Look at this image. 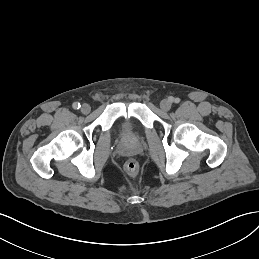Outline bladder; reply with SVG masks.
<instances>
[{
  "instance_id": "31cf9c89",
  "label": "bladder",
  "mask_w": 259,
  "mask_h": 259,
  "mask_svg": "<svg viewBox=\"0 0 259 259\" xmlns=\"http://www.w3.org/2000/svg\"><path fill=\"white\" fill-rule=\"evenodd\" d=\"M121 133L125 137H130L133 133L132 125L129 121H125L121 125Z\"/></svg>"
}]
</instances>
